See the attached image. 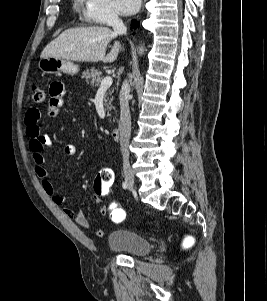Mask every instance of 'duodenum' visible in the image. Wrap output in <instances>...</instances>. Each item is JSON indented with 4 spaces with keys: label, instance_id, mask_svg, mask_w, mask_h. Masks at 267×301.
<instances>
[{
    "label": "duodenum",
    "instance_id": "410a0bca",
    "mask_svg": "<svg viewBox=\"0 0 267 301\" xmlns=\"http://www.w3.org/2000/svg\"><path fill=\"white\" fill-rule=\"evenodd\" d=\"M110 135L113 140H117L120 136V129L118 127L113 128Z\"/></svg>",
    "mask_w": 267,
    "mask_h": 301
}]
</instances>
